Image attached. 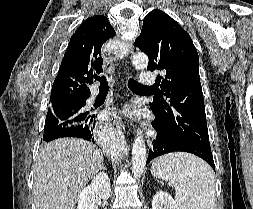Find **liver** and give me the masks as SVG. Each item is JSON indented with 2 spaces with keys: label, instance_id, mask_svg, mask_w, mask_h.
<instances>
[{
  "label": "liver",
  "instance_id": "6515ba94",
  "mask_svg": "<svg viewBox=\"0 0 253 209\" xmlns=\"http://www.w3.org/2000/svg\"><path fill=\"white\" fill-rule=\"evenodd\" d=\"M103 154L79 138L44 144L35 163L33 193L36 209H74L77 195L103 167Z\"/></svg>",
  "mask_w": 253,
  "mask_h": 209
}]
</instances>
